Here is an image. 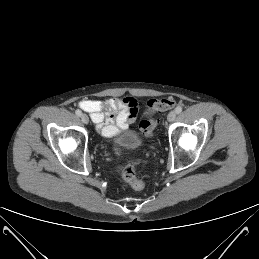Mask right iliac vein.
Instances as JSON below:
<instances>
[{
  "label": "right iliac vein",
  "instance_id": "1",
  "mask_svg": "<svg viewBox=\"0 0 259 259\" xmlns=\"http://www.w3.org/2000/svg\"><path fill=\"white\" fill-rule=\"evenodd\" d=\"M81 120L84 124H88L89 123V118L86 114H82L81 115Z\"/></svg>",
  "mask_w": 259,
  "mask_h": 259
}]
</instances>
